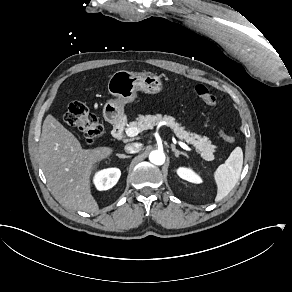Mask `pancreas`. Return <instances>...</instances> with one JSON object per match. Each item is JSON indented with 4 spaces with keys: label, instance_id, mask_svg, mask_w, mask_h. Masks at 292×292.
Returning a JSON list of instances; mask_svg holds the SVG:
<instances>
[{
    "label": "pancreas",
    "instance_id": "cf45deb5",
    "mask_svg": "<svg viewBox=\"0 0 292 292\" xmlns=\"http://www.w3.org/2000/svg\"><path fill=\"white\" fill-rule=\"evenodd\" d=\"M137 121L130 122L128 128L137 127L140 131L153 129L154 126L158 125L160 122L165 121L167 126H169L179 139H184L187 143L192 144L196 148V152L200 153L205 160H213V152L215 146L212 145L208 137L200 136L195 133H190L185 131V127L181 124L175 122V118L172 116L161 114L156 115H139L136 119Z\"/></svg>",
    "mask_w": 292,
    "mask_h": 292
}]
</instances>
